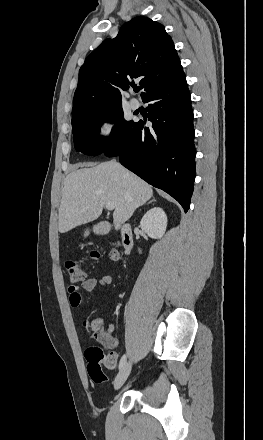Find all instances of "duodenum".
Returning <instances> with one entry per match:
<instances>
[{"mask_svg":"<svg viewBox=\"0 0 263 440\" xmlns=\"http://www.w3.org/2000/svg\"><path fill=\"white\" fill-rule=\"evenodd\" d=\"M118 228L120 230V242L122 248L124 252L128 254L131 252L134 245L131 226L127 223H121L118 225Z\"/></svg>","mask_w":263,"mask_h":440,"instance_id":"1","label":"duodenum"}]
</instances>
